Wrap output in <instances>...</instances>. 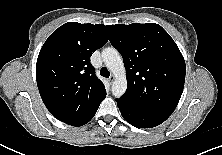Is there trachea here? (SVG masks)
Returning <instances> with one entry per match:
<instances>
[{"label":"trachea","mask_w":222,"mask_h":155,"mask_svg":"<svg viewBox=\"0 0 222 155\" xmlns=\"http://www.w3.org/2000/svg\"><path fill=\"white\" fill-rule=\"evenodd\" d=\"M100 74L101 76L103 77H106L108 78L110 76V72L107 70V68L103 67L101 70H100Z\"/></svg>","instance_id":"1"}]
</instances>
